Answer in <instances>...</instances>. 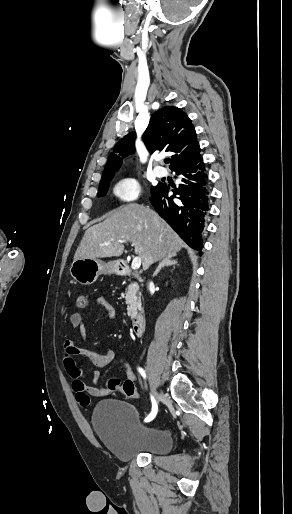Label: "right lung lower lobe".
I'll return each instance as SVG.
<instances>
[{
  "label": "right lung lower lobe",
  "instance_id": "obj_1",
  "mask_svg": "<svg viewBox=\"0 0 292 514\" xmlns=\"http://www.w3.org/2000/svg\"><path fill=\"white\" fill-rule=\"evenodd\" d=\"M181 183L170 189L159 183L151 189L150 202L165 221L193 249L203 247L202 232L209 210L208 176L201 155L173 169ZM172 191L173 195L168 196Z\"/></svg>",
  "mask_w": 292,
  "mask_h": 514
}]
</instances>
